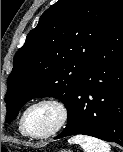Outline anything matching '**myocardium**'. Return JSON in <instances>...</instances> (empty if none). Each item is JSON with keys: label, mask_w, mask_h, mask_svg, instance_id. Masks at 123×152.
I'll list each match as a JSON object with an SVG mask.
<instances>
[{"label": "myocardium", "mask_w": 123, "mask_h": 152, "mask_svg": "<svg viewBox=\"0 0 123 152\" xmlns=\"http://www.w3.org/2000/svg\"><path fill=\"white\" fill-rule=\"evenodd\" d=\"M42 104H50V105L55 106L59 111V121H58L57 125L47 133L33 134L26 127V117L32 108H34L38 105H42ZM68 119H69V109H68L67 104L60 98H57L54 96H47V97H43V98H40V99L34 101L24 110V112L21 116V119H20V124H21V128L26 136L34 138V139H46V138H50V137L56 135L57 133H59L65 127Z\"/></svg>", "instance_id": "obj_1"}]
</instances>
